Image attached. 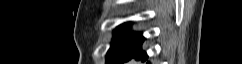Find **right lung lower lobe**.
<instances>
[{"instance_id": "obj_1", "label": "right lung lower lobe", "mask_w": 242, "mask_h": 64, "mask_svg": "<svg viewBox=\"0 0 242 64\" xmlns=\"http://www.w3.org/2000/svg\"><path fill=\"white\" fill-rule=\"evenodd\" d=\"M134 57H135L136 60H141L142 62L146 61L147 58H148L146 52H144V51L139 52V53L136 54ZM132 58H133V57H132ZM128 60H130V59H128ZM128 60H122L120 63H122V62H127Z\"/></svg>"}]
</instances>
